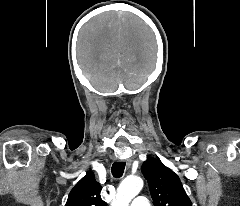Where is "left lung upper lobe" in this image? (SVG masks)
Returning <instances> with one entry per match:
<instances>
[{
    "mask_svg": "<svg viewBox=\"0 0 240 206\" xmlns=\"http://www.w3.org/2000/svg\"><path fill=\"white\" fill-rule=\"evenodd\" d=\"M141 169L155 206H192L177 174L161 161L149 158Z\"/></svg>",
    "mask_w": 240,
    "mask_h": 206,
    "instance_id": "1",
    "label": "left lung upper lobe"
}]
</instances>
